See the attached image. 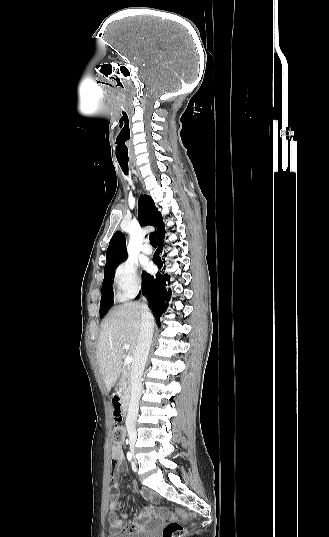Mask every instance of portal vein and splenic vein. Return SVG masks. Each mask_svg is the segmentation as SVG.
Returning a JSON list of instances; mask_svg holds the SVG:
<instances>
[{
    "instance_id": "obj_1",
    "label": "portal vein and splenic vein",
    "mask_w": 329,
    "mask_h": 537,
    "mask_svg": "<svg viewBox=\"0 0 329 537\" xmlns=\"http://www.w3.org/2000/svg\"><path fill=\"white\" fill-rule=\"evenodd\" d=\"M123 348H124L125 350H129V345L125 343V344L123 345ZM112 355H114V353H112ZM132 360H133V359H132L131 356H127L126 359H125V364H126V365L130 364V363L132 362Z\"/></svg>"
}]
</instances>
